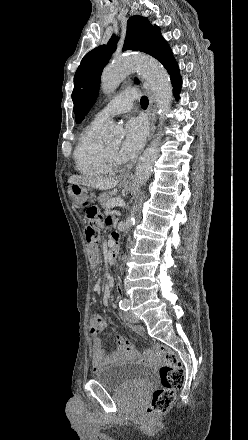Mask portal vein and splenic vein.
Instances as JSON below:
<instances>
[{"label":"portal vein and splenic vein","instance_id":"obj_1","mask_svg":"<svg viewBox=\"0 0 248 440\" xmlns=\"http://www.w3.org/2000/svg\"><path fill=\"white\" fill-rule=\"evenodd\" d=\"M124 207L125 206V202L122 199L119 198H113L110 200L108 208H113V207Z\"/></svg>","mask_w":248,"mask_h":440}]
</instances>
